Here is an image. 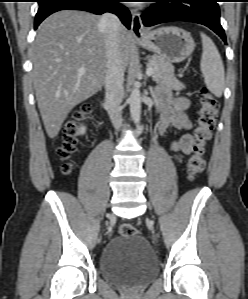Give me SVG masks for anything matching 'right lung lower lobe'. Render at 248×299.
I'll list each match as a JSON object with an SVG mask.
<instances>
[{"instance_id":"obj_1","label":"right lung lower lobe","mask_w":248,"mask_h":299,"mask_svg":"<svg viewBox=\"0 0 248 299\" xmlns=\"http://www.w3.org/2000/svg\"><path fill=\"white\" fill-rule=\"evenodd\" d=\"M121 0H39V9L35 17V28L50 14L60 10H84L94 14L111 12L116 14L122 23L130 29L131 15Z\"/></svg>"}]
</instances>
